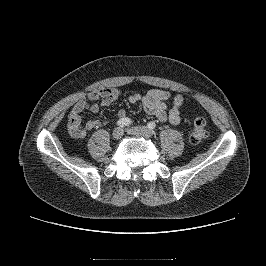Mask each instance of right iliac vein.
Here are the masks:
<instances>
[{"mask_svg": "<svg viewBox=\"0 0 266 266\" xmlns=\"http://www.w3.org/2000/svg\"><path fill=\"white\" fill-rule=\"evenodd\" d=\"M124 132H123V129L118 127V128H115L112 132V136L114 139L118 140L120 139L122 136H123Z\"/></svg>", "mask_w": 266, "mask_h": 266, "instance_id": "right-iliac-vein-1", "label": "right iliac vein"}]
</instances>
